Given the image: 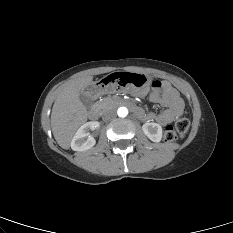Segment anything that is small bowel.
Returning a JSON list of instances; mask_svg holds the SVG:
<instances>
[{"mask_svg":"<svg viewBox=\"0 0 233 233\" xmlns=\"http://www.w3.org/2000/svg\"><path fill=\"white\" fill-rule=\"evenodd\" d=\"M147 93L148 90L144 88L136 92V95L144 97ZM149 99L164 107V110L159 114L148 113L144 115L142 112L140 117H144L149 122H157L161 125H165L172 122L183 113V100L169 83H163L161 88H154L149 94Z\"/></svg>","mask_w":233,"mask_h":233,"instance_id":"obj_1","label":"small bowel"}]
</instances>
